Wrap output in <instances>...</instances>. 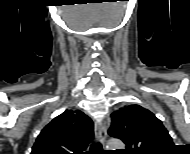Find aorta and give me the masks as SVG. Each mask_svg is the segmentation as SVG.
Here are the masks:
<instances>
[{
    "instance_id": "obj_1",
    "label": "aorta",
    "mask_w": 190,
    "mask_h": 154,
    "mask_svg": "<svg viewBox=\"0 0 190 154\" xmlns=\"http://www.w3.org/2000/svg\"><path fill=\"white\" fill-rule=\"evenodd\" d=\"M108 150L124 149V144L119 139H110L107 143Z\"/></svg>"
}]
</instances>
